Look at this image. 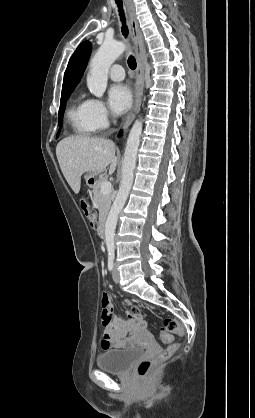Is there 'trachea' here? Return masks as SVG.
Masks as SVG:
<instances>
[{
  "mask_svg": "<svg viewBox=\"0 0 255 418\" xmlns=\"http://www.w3.org/2000/svg\"><path fill=\"white\" fill-rule=\"evenodd\" d=\"M117 6H118V10H119V16H120V20L122 22V34L127 37L128 35V28L126 26V19H125V15H124V11H123V4H122V0H115ZM128 66L130 69L134 70L137 66L136 64V60L134 58V56H129L128 58Z\"/></svg>",
  "mask_w": 255,
  "mask_h": 418,
  "instance_id": "trachea-1",
  "label": "trachea"
}]
</instances>
